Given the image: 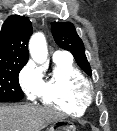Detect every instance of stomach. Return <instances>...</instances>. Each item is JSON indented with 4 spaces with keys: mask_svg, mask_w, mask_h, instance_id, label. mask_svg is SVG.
Segmentation results:
<instances>
[{
    "mask_svg": "<svg viewBox=\"0 0 117 131\" xmlns=\"http://www.w3.org/2000/svg\"><path fill=\"white\" fill-rule=\"evenodd\" d=\"M47 131H76L75 125L66 119L56 120Z\"/></svg>",
    "mask_w": 117,
    "mask_h": 131,
    "instance_id": "obj_1",
    "label": "stomach"
}]
</instances>
